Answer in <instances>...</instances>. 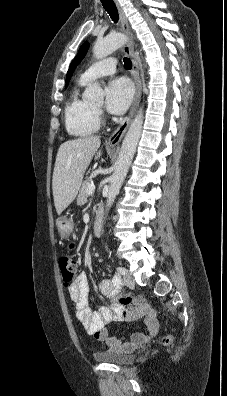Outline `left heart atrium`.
<instances>
[{
    "label": "left heart atrium",
    "mask_w": 227,
    "mask_h": 396,
    "mask_svg": "<svg viewBox=\"0 0 227 396\" xmlns=\"http://www.w3.org/2000/svg\"><path fill=\"white\" fill-rule=\"evenodd\" d=\"M133 88L126 78H115L106 88V108L113 114H121L129 107Z\"/></svg>",
    "instance_id": "obj_1"
}]
</instances>
